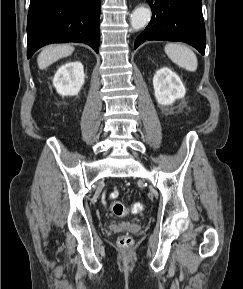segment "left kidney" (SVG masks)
<instances>
[{
	"instance_id": "left-kidney-1",
	"label": "left kidney",
	"mask_w": 243,
	"mask_h": 289,
	"mask_svg": "<svg viewBox=\"0 0 243 289\" xmlns=\"http://www.w3.org/2000/svg\"><path fill=\"white\" fill-rule=\"evenodd\" d=\"M154 95L160 105H171L175 100L183 98L186 89L176 73L163 67L153 77Z\"/></svg>"
}]
</instances>
